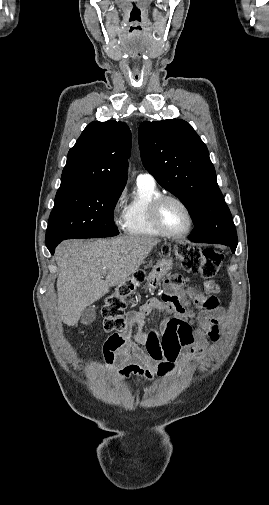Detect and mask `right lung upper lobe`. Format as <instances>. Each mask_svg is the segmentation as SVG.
Masks as SVG:
<instances>
[{
	"label": "right lung upper lobe",
	"instance_id": "1",
	"mask_svg": "<svg viewBox=\"0 0 269 505\" xmlns=\"http://www.w3.org/2000/svg\"><path fill=\"white\" fill-rule=\"evenodd\" d=\"M131 132L124 122H91L67 156L60 188L103 187L122 189L123 164L129 157Z\"/></svg>",
	"mask_w": 269,
	"mask_h": 505
}]
</instances>
